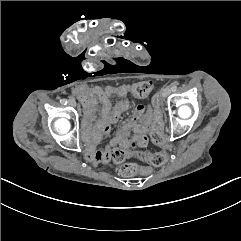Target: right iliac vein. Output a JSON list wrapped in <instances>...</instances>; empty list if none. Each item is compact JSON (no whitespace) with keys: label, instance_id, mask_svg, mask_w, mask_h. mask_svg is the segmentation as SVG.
I'll use <instances>...</instances> for the list:
<instances>
[{"label":"right iliac vein","instance_id":"63e3f726","mask_svg":"<svg viewBox=\"0 0 241 241\" xmlns=\"http://www.w3.org/2000/svg\"><path fill=\"white\" fill-rule=\"evenodd\" d=\"M68 104H69L70 106H76V102H75L74 100H69V101H68Z\"/></svg>","mask_w":241,"mask_h":241}]
</instances>
